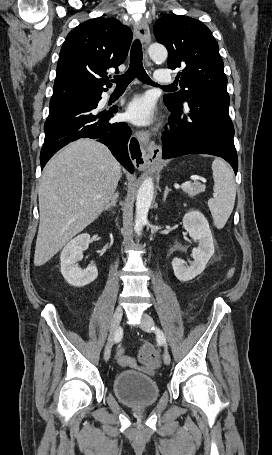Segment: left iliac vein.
<instances>
[{
	"label": "left iliac vein",
	"mask_w": 272,
	"mask_h": 455,
	"mask_svg": "<svg viewBox=\"0 0 272 455\" xmlns=\"http://www.w3.org/2000/svg\"><path fill=\"white\" fill-rule=\"evenodd\" d=\"M154 325L153 319L148 314H143L140 328L146 332H152ZM163 360L166 365H169L171 362V357L167 349L164 351Z\"/></svg>",
	"instance_id": "1"
}]
</instances>
